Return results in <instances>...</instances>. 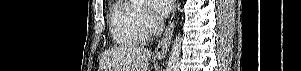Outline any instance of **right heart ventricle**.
Wrapping results in <instances>:
<instances>
[{
    "mask_svg": "<svg viewBox=\"0 0 301 71\" xmlns=\"http://www.w3.org/2000/svg\"><path fill=\"white\" fill-rule=\"evenodd\" d=\"M109 27L113 42L121 46L140 45L148 38L139 10L127 0L114 5Z\"/></svg>",
    "mask_w": 301,
    "mask_h": 71,
    "instance_id": "1",
    "label": "right heart ventricle"
}]
</instances>
